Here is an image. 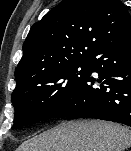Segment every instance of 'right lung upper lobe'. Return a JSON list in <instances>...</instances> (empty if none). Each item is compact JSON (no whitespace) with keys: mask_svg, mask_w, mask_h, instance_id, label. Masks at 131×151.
<instances>
[{"mask_svg":"<svg viewBox=\"0 0 131 151\" xmlns=\"http://www.w3.org/2000/svg\"><path fill=\"white\" fill-rule=\"evenodd\" d=\"M131 34V16L120 0H63L35 23L15 70L16 88L36 77L91 60L101 46Z\"/></svg>","mask_w":131,"mask_h":151,"instance_id":"right-lung-upper-lobe-1","label":"right lung upper lobe"}]
</instances>
